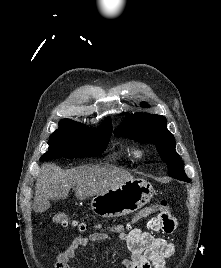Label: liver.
I'll return each mask as SVG.
<instances>
[{"label": "liver", "mask_w": 221, "mask_h": 268, "mask_svg": "<svg viewBox=\"0 0 221 268\" xmlns=\"http://www.w3.org/2000/svg\"><path fill=\"white\" fill-rule=\"evenodd\" d=\"M124 169L113 166H82L62 170L54 164H44L35 186L34 206L36 212L50 208L51 200L66 199L71 188L76 187V198L83 200L107 192L132 180ZM38 207L39 210H36Z\"/></svg>", "instance_id": "liver-1"}]
</instances>
